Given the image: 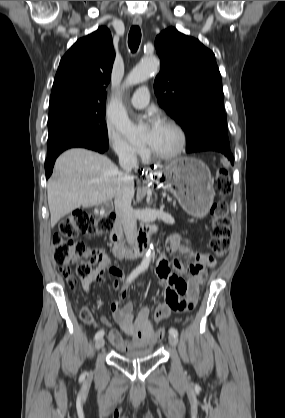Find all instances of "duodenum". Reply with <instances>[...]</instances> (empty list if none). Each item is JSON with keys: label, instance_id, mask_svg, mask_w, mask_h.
<instances>
[{"label": "duodenum", "instance_id": "1", "mask_svg": "<svg viewBox=\"0 0 285 418\" xmlns=\"http://www.w3.org/2000/svg\"><path fill=\"white\" fill-rule=\"evenodd\" d=\"M112 253L117 259H133L146 254L148 241L145 236L140 238L133 246L128 247L124 243L122 224L118 221L110 234Z\"/></svg>", "mask_w": 285, "mask_h": 418}]
</instances>
